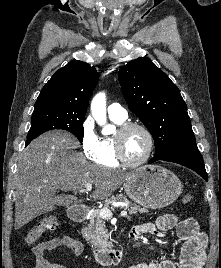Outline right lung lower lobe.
Here are the masks:
<instances>
[{"mask_svg": "<svg viewBox=\"0 0 221 268\" xmlns=\"http://www.w3.org/2000/svg\"><path fill=\"white\" fill-rule=\"evenodd\" d=\"M33 139H27L26 146L32 141Z\"/></svg>", "mask_w": 221, "mask_h": 268, "instance_id": "obj_1", "label": "right lung lower lobe"}]
</instances>
